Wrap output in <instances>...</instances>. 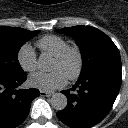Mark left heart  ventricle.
Listing matches in <instances>:
<instances>
[{
  "label": "left heart ventricle",
  "instance_id": "left-heart-ventricle-1",
  "mask_svg": "<svg viewBox=\"0 0 128 128\" xmlns=\"http://www.w3.org/2000/svg\"><path fill=\"white\" fill-rule=\"evenodd\" d=\"M75 69H76V59L74 57L70 58L65 63H60L54 60L51 67L52 71H56V70L61 71L66 75V77H68L72 72H74Z\"/></svg>",
  "mask_w": 128,
  "mask_h": 128
}]
</instances>
